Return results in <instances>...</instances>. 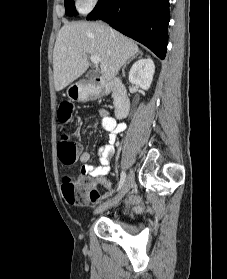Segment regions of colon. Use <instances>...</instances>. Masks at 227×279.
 <instances>
[{
	"mask_svg": "<svg viewBox=\"0 0 227 279\" xmlns=\"http://www.w3.org/2000/svg\"><path fill=\"white\" fill-rule=\"evenodd\" d=\"M73 116V107L70 103L64 102L58 111V121L61 124L68 123ZM80 152L78 144L68 135H62L58 140V158L64 166H71L75 163ZM64 190L75 192L77 188V183L71 179H66L64 182ZM99 196L98 192L95 190L90 191L87 195L75 196V201L80 203L84 202L86 199H95Z\"/></svg>",
	"mask_w": 227,
	"mask_h": 279,
	"instance_id": "5ec220e1",
	"label": "colon"
}]
</instances>
